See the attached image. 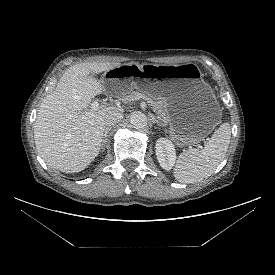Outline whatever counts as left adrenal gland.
<instances>
[{"instance_id":"a2214340","label":"left adrenal gland","mask_w":275,"mask_h":275,"mask_svg":"<svg viewBox=\"0 0 275 275\" xmlns=\"http://www.w3.org/2000/svg\"><path fill=\"white\" fill-rule=\"evenodd\" d=\"M151 121H152V123H155L157 126L161 127V124L154 116H151Z\"/></svg>"}]
</instances>
